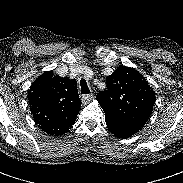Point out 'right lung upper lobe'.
Here are the masks:
<instances>
[{
	"instance_id": "right-lung-upper-lobe-1",
	"label": "right lung upper lobe",
	"mask_w": 183,
	"mask_h": 183,
	"mask_svg": "<svg viewBox=\"0 0 183 183\" xmlns=\"http://www.w3.org/2000/svg\"><path fill=\"white\" fill-rule=\"evenodd\" d=\"M28 100L35 123L55 136L69 130L81 107L77 82L53 76V71L43 73L33 82Z\"/></svg>"
}]
</instances>
